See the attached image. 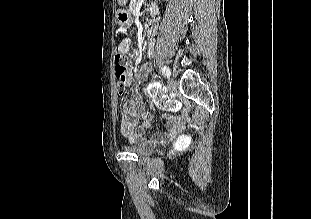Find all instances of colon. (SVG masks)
<instances>
[{"mask_svg":"<svg viewBox=\"0 0 311 219\" xmlns=\"http://www.w3.org/2000/svg\"><path fill=\"white\" fill-rule=\"evenodd\" d=\"M130 61L129 59L124 55H118L115 58V75L118 79V89L119 93L123 94L125 92V89L127 87L126 84V73L128 71ZM158 101V100H157ZM163 107L165 108H174V104L170 103L168 101H163ZM190 142V137H185L182 139H179L175 145L174 148L176 150L181 149L182 147L186 146Z\"/></svg>","mask_w":311,"mask_h":219,"instance_id":"1","label":"colon"}]
</instances>
